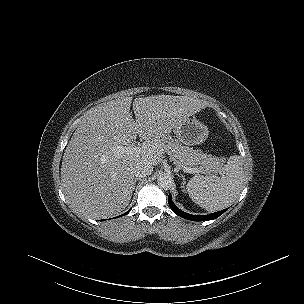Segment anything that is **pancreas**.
<instances>
[{"mask_svg": "<svg viewBox=\"0 0 304 304\" xmlns=\"http://www.w3.org/2000/svg\"><path fill=\"white\" fill-rule=\"evenodd\" d=\"M165 151L180 169L193 167L203 173H218L222 171L224 165L223 158L183 146L177 141L168 140L165 145Z\"/></svg>", "mask_w": 304, "mask_h": 304, "instance_id": "obj_1", "label": "pancreas"}]
</instances>
